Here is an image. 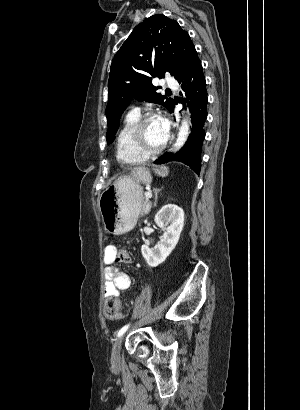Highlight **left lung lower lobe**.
Listing matches in <instances>:
<instances>
[{
    "label": "left lung lower lobe",
    "mask_w": 300,
    "mask_h": 410,
    "mask_svg": "<svg viewBox=\"0 0 300 410\" xmlns=\"http://www.w3.org/2000/svg\"><path fill=\"white\" fill-rule=\"evenodd\" d=\"M177 81L181 85L190 108L192 118L191 134L179 152L169 154L168 156L163 155L155 161V164L178 161L188 165L199 175L201 169V149L205 138L204 124L207 118L208 98L202 64L197 53L192 58L187 71ZM182 103L185 106V101Z\"/></svg>",
    "instance_id": "0a47b994"
}]
</instances>
